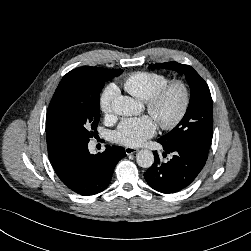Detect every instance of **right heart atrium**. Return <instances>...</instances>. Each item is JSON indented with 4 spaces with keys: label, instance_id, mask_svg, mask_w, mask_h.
I'll return each mask as SVG.
<instances>
[{
    "label": "right heart atrium",
    "instance_id": "obj_1",
    "mask_svg": "<svg viewBox=\"0 0 251 251\" xmlns=\"http://www.w3.org/2000/svg\"><path fill=\"white\" fill-rule=\"evenodd\" d=\"M118 96V89L114 85L108 86L100 97V109L101 112L110 117L112 115V105L116 97Z\"/></svg>",
    "mask_w": 251,
    "mask_h": 251
}]
</instances>
